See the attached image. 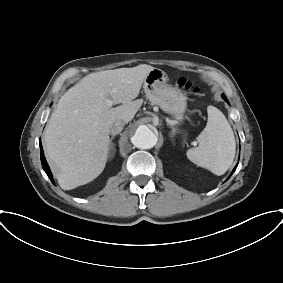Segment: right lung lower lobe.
Wrapping results in <instances>:
<instances>
[{"mask_svg":"<svg viewBox=\"0 0 283 283\" xmlns=\"http://www.w3.org/2000/svg\"><path fill=\"white\" fill-rule=\"evenodd\" d=\"M40 157H41V163H42V167H43L44 171L46 172V174L48 175L50 180L53 182L52 174L50 172V169H49L48 164H47L45 157H44L41 142H40Z\"/></svg>","mask_w":283,"mask_h":283,"instance_id":"obj_1","label":"right lung lower lobe"}]
</instances>
